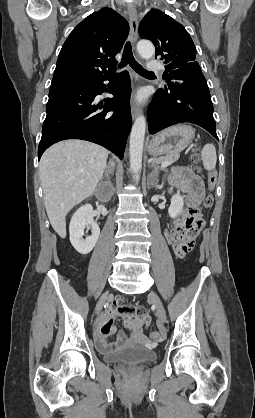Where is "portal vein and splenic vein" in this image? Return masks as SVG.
Segmentation results:
<instances>
[{
    "label": "portal vein and splenic vein",
    "instance_id": "obj_1",
    "mask_svg": "<svg viewBox=\"0 0 255 418\" xmlns=\"http://www.w3.org/2000/svg\"><path fill=\"white\" fill-rule=\"evenodd\" d=\"M170 164H171V162L165 161V162L161 163V167L165 168V167L169 166Z\"/></svg>",
    "mask_w": 255,
    "mask_h": 418
}]
</instances>
